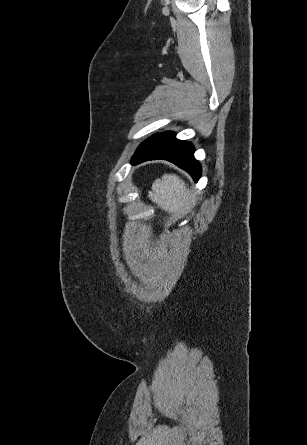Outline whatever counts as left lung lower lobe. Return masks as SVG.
I'll return each instance as SVG.
<instances>
[{
    "label": "left lung lower lobe",
    "instance_id": "left-lung-lower-lobe-1",
    "mask_svg": "<svg viewBox=\"0 0 307 445\" xmlns=\"http://www.w3.org/2000/svg\"><path fill=\"white\" fill-rule=\"evenodd\" d=\"M194 147L190 142L180 141L173 132H163L145 141L132 157V165L147 160L164 159L186 170L197 182L201 166L195 160Z\"/></svg>",
    "mask_w": 307,
    "mask_h": 445
}]
</instances>
